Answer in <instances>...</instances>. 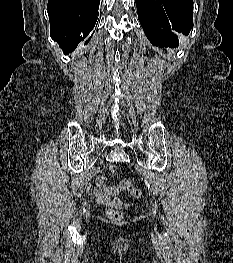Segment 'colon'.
Here are the masks:
<instances>
[{"label": "colon", "mask_w": 233, "mask_h": 263, "mask_svg": "<svg viewBox=\"0 0 233 263\" xmlns=\"http://www.w3.org/2000/svg\"><path fill=\"white\" fill-rule=\"evenodd\" d=\"M110 170L111 172L113 173H116L117 172V166L115 165H112L110 167ZM118 189L119 190H127L132 196L134 197H141L142 196V190L135 187L131 181L129 180H121L119 182V184L117 185ZM107 216L114 222H122L123 221V214L118 210V209H115V208H108L107 211Z\"/></svg>", "instance_id": "5ec220e1"}]
</instances>
